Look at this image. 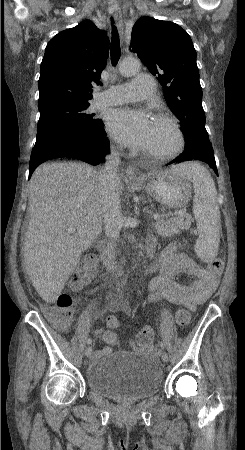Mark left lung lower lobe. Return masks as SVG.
Here are the masks:
<instances>
[{"instance_id": "1", "label": "left lung lower lobe", "mask_w": 245, "mask_h": 450, "mask_svg": "<svg viewBox=\"0 0 245 450\" xmlns=\"http://www.w3.org/2000/svg\"><path fill=\"white\" fill-rule=\"evenodd\" d=\"M190 159H197L204 162H207L210 167L215 171L216 175H218L216 162L214 158V152L211 148H203L198 151H191V152H183L178 157H176L174 160L169 162L167 165L172 163H179Z\"/></svg>"}]
</instances>
